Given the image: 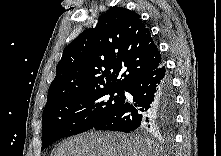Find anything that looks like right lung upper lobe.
Masks as SVG:
<instances>
[{"label": "right lung upper lobe", "instance_id": "right-lung-upper-lobe-1", "mask_svg": "<svg viewBox=\"0 0 221 156\" xmlns=\"http://www.w3.org/2000/svg\"><path fill=\"white\" fill-rule=\"evenodd\" d=\"M162 63L141 16L123 7L114 8L63 50L45 108L77 92L125 90ZM119 73L121 79H117Z\"/></svg>", "mask_w": 221, "mask_h": 156}]
</instances>
